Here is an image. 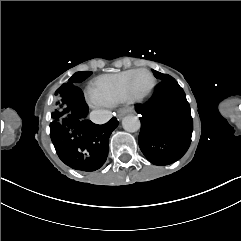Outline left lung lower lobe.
<instances>
[{
    "label": "left lung lower lobe",
    "instance_id": "0a47b994",
    "mask_svg": "<svg viewBox=\"0 0 241 241\" xmlns=\"http://www.w3.org/2000/svg\"><path fill=\"white\" fill-rule=\"evenodd\" d=\"M141 115L139 146L155 165H168L188 150L193 120L185 92L174 78L161 80L151 99L135 105Z\"/></svg>",
    "mask_w": 241,
    "mask_h": 241
}]
</instances>
